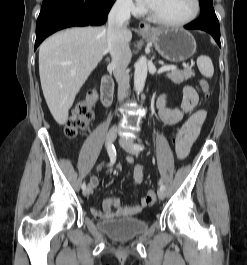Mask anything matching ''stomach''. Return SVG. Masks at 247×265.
Listing matches in <instances>:
<instances>
[{
  "instance_id": "obj_1",
  "label": "stomach",
  "mask_w": 247,
  "mask_h": 265,
  "mask_svg": "<svg viewBox=\"0 0 247 265\" xmlns=\"http://www.w3.org/2000/svg\"><path fill=\"white\" fill-rule=\"evenodd\" d=\"M158 53L171 62L189 59L196 52V42L191 33L178 28H156L145 32Z\"/></svg>"
}]
</instances>
